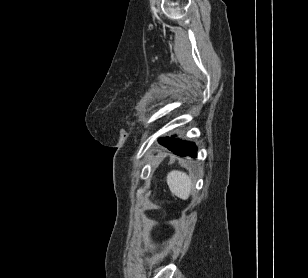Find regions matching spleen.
Returning <instances> with one entry per match:
<instances>
[{
	"label": "spleen",
	"mask_w": 308,
	"mask_h": 278,
	"mask_svg": "<svg viewBox=\"0 0 308 278\" xmlns=\"http://www.w3.org/2000/svg\"><path fill=\"white\" fill-rule=\"evenodd\" d=\"M167 184L171 193L183 200L189 198L193 187L191 177L178 170H173L167 174Z\"/></svg>",
	"instance_id": "1"
}]
</instances>
